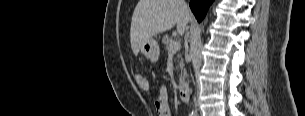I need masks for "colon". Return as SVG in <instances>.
I'll list each match as a JSON object with an SVG mask.
<instances>
[{"instance_id":"colon-1","label":"colon","mask_w":305,"mask_h":116,"mask_svg":"<svg viewBox=\"0 0 305 116\" xmlns=\"http://www.w3.org/2000/svg\"><path fill=\"white\" fill-rule=\"evenodd\" d=\"M135 81L139 88V90L146 95H149L151 93V88L148 80L141 74L137 73L135 75Z\"/></svg>"}]
</instances>
